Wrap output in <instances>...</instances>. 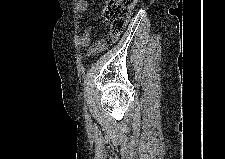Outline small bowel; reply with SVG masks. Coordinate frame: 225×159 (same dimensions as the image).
Here are the masks:
<instances>
[{
  "label": "small bowel",
  "mask_w": 225,
  "mask_h": 159,
  "mask_svg": "<svg viewBox=\"0 0 225 159\" xmlns=\"http://www.w3.org/2000/svg\"><path fill=\"white\" fill-rule=\"evenodd\" d=\"M88 8V3L84 0H80L76 4V12L79 14L84 13ZM91 29L86 26L81 33L76 34L75 41L80 47H88L90 44ZM117 37L112 34H107L105 37L99 39L95 44L88 47L86 56L95 55L105 50L109 45H112L116 41Z\"/></svg>",
  "instance_id": "obj_1"
}]
</instances>
